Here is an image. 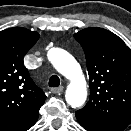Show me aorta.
Wrapping results in <instances>:
<instances>
[{"label": "aorta", "mask_w": 131, "mask_h": 131, "mask_svg": "<svg viewBox=\"0 0 131 131\" xmlns=\"http://www.w3.org/2000/svg\"><path fill=\"white\" fill-rule=\"evenodd\" d=\"M49 59L55 69L70 80L66 90V101L73 108L84 104L87 97L86 80L77 61L65 50L52 48Z\"/></svg>", "instance_id": "1"}]
</instances>
